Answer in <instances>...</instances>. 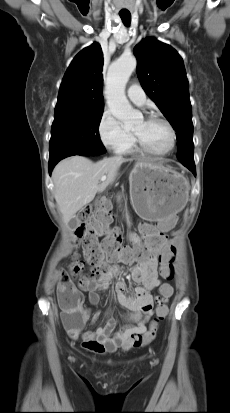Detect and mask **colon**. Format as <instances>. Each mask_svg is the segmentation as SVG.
Segmentation results:
<instances>
[{
  "label": "colon",
  "instance_id": "1",
  "mask_svg": "<svg viewBox=\"0 0 230 413\" xmlns=\"http://www.w3.org/2000/svg\"><path fill=\"white\" fill-rule=\"evenodd\" d=\"M99 199L95 210H92L90 206H85L80 210L78 213L79 226L75 231L76 244L82 246L85 261L92 267V276L96 281L108 270L106 260L118 258L126 263H132L146 261L153 257H157L161 264L157 266V273L166 280H173L176 249L165 241L163 233L159 232V235L147 239L143 245L135 248H122V230L120 227L114 226L108 230L101 244L97 242V238L104 233L112 221L111 207L107 202L110 199V194L101 192ZM83 269L84 261L74 255L61 277V287L69 285L80 277ZM78 281L82 284L87 281V278L81 277ZM79 300V296L71 290L62 291L59 295L60 304L67 312L71 313L74 325H78L81 321L78 309ZM167 300L161 296L157 298L155 320L145 334L133 339L130 347H140L155 337L158 322L163 320L167 314Z\"/></svg>",
  "mask_w": 230,
  "mask_h": 413
}]
</instances>
